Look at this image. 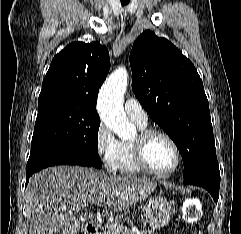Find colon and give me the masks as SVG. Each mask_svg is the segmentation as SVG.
<instances>
[{
  "label": "colon",
  "instance_id": "obj_1",
  "mask_svg": "<svg viewBox=\"0 0 241 234\" xmlns=\"http://www.w3.org/2000/svg\"><path fill=\"white\" fill-rule=\"evenodd\" d=\"M183 215L187 222L196 223L201 218L200 202L196 198L189 199L183 206Z\"/></svg>",
  "mask_w": 241,
  "mask_h": 234
}]
</instances>
